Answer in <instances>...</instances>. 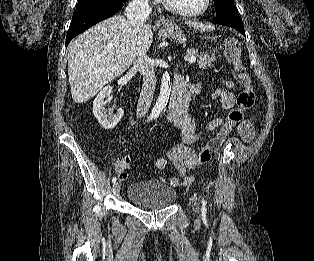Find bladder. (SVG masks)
<instances>
[{
    "label": "bladder",
    "instance_id": "1",
    "mask_svg": "<svg viewBox=\"0 0 314 261\" xmlns=\"http://www.w3.org/2000/svg\"><path fill=\"white\" fill-rule=\"evenodd\" d=\"M127 197L141 209L159 210L172 206L177 193L173 186L157 180H148L130 185Z\"/></svg>",
    "mask_w": 314,
    "mask_h": 261
}]
</instances>
